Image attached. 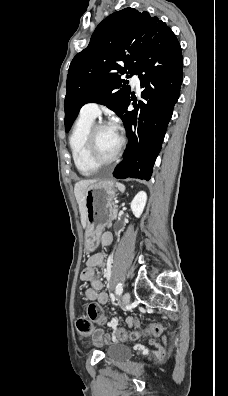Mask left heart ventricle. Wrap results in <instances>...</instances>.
Here are the masks:
<instances>
[{
	"label": "left heart ventricle",
	"mask_w": 228,
	"mask_h": 396,
	"mask_svg": "<svg viewBox=\"0 0 228 396\" xmlns=\"http://www.w3.org/2000/svg\"><path fill=\"white\" fill-rule=\"evenodd\" d=\"M119 146V135L113 126L99 129L95 139V152L100 160L110 159Z\"/></svg>",
	"instance_id": "left-heart-ventricle-1"
}]
</instances>
